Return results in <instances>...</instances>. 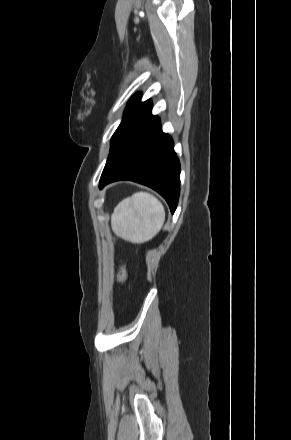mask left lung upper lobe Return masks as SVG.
Instances as JSON below:
<instances>
[{
  "instance_id": "1",
  "label": "left lung upper lobe",
  "mask_w": 291,
  "mask_h": 440,
  "mask_svg": "<svg viewBox=\"0 0 291 440\" xmlns=\"http://www.w3.org/2000/svg\"><path fill=\"white\" fill-rule=\"evenodd\" d=\"M141 94H136L128 103V106L124 112V118L115 131L111 139V145L120 135V133L141 113H143L149 106H151V100L140 102Z\"/></svg>"
}]
</instances>
